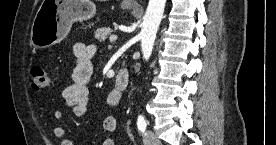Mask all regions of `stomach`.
<instances>
[{
  "mask_svg": "<svg viewBox=\"0 0 276 145\" xmlns=\"http://www.w3.org/2000/svg\"><path fill=\"white\" fill-rule=\"evenodd\" d=\"M96 5L90 0H43L31 28V43L48 48L68 35L75 21L90 19Z\"/></svg>",
  "mask_w": 276,
  "mask_h": 145,
  "instance_id": "stomach-1",
  "label": "stomach"
}]
</instances>
